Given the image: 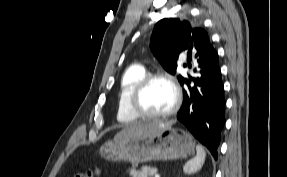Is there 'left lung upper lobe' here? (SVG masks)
Here are the masks:
<instances>
[{"label": "left lung upper lobe", "instance_id": "1", "mask_svg": "<svg viewBox=\"0 0 287 177\" xmlns=\"http://www.w3.org/2000/svg\"><path fill=\"white\" fill-rule=\"evenodd\" d=\"M150 47L164 69L174 75L181 52H186L188 59L194 56L199 63L207 58L213 46L204 29L194 28L190 22L175 17L164 18L155 25ZM187 79L178 76L181 85Z\"/></svg>", "mask_w": 287, "mask_h": 177}]
</instances>
